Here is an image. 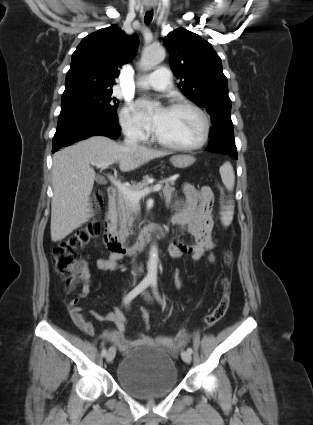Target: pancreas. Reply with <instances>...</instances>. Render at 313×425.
Here are the masks:
<instances>
[{"mask_svg": "<svg viewBox=\"0 0 313 425\" xmlns=\"http://www.w3.org/2000/svg\"><path fill=\"white\" fill-rule=\"evenodd\" d=\"M148 180H149V177L146 176L141 182L135 185L129 186L128 188L131 191L139 192L147 188ZM174 182H175L174 180H168V179L160 181V183L165 184V186L162 189V194L167 203H170L173 198V192L175 191V189L174 187H172V185H174ZM117 213H118L119 233L124 235V237H127L129 234L133 233L131 229L133 227L134 221L136 220L137 216L140 214V204L131 202L130 200L127 199V197L123 193L119 191L117 196Z\"/></svg>", "mask_w": 313, "mask_h": 425, "instance_id": "pancreas-1", "label": "pancreas"}]
</instances>
